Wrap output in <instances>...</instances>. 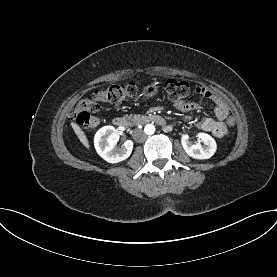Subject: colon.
<instances>
[{
  "label": "colon",
  "mask_w": 277,
  "mask_h": 277,
  "mask_svg": "<svg viewBox=\"0 0 277 277\" xmlns=\"http://www.w3.org/2000/svg\"><path fill=\"white\" fill-rule=\"evenodd\" d=\"M165 88L168 97L175 103L185 101V98L190 94V85L182 80L169 79L165 83ZM136 93L137 88L133 83L112 84L105 89H95L78 103L72 114V119L84 129L95 128L101 121L98 116L100 103L117 105L125 99L134 97ZM223 123L232 129L236 120L233 116L228 115L224 118Z\"/></svg>",
  "instance_id": "1"
}]
</instances>
